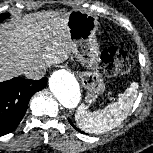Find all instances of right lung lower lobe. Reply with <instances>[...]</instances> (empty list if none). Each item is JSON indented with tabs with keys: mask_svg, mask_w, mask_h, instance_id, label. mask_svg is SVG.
Segmentation results:
<instances>
[{
	"mask_svg": "<svg viewBox=\"0 0 153 153\" xmlns=\"http://www.w3.org/2000/svg\"><path fill=\"white\" fill-rule=\"evenodd\" d=\"M47 78L20 77L0 82V136L15 130L25 115L30 98L46 87Z\"/></svg>",
	"mask_w": 153,
	"mask_h": 153,
	"instance_id": "right-lung-lower-lobe-1",
	"label": "right lung lower lobe"
}]
</instances>
